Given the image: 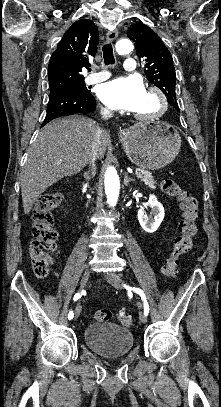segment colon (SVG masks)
Returning <instances> with one entry per match:
<instances>
[{
  "label": "colon",
  "mask_w": 221,
  "mask_h": 407,
  "mask_svg": "<svg viewBox=\"0 0 221 407\" xmlns=\"http://www.w3.org/2000/svg\"><path fill=\"white\" fill-rule=\"evenodd\" d=\"M162 191L175 197L182 211L178 223V235L174 241V248L163 266V273L169 279L175 277L180 263V257L187 254L196 234V219L198 217V201L189 192L182 189L174 180L164 179L161 182ZM62 196L59 193L42 195L33 211L32 240L30 242V255L33 260V270L36 276L46 277L50 271V254L56 248L57 232L53 227L52 211L60 205ZM93 318L106 322L112 318L109 310H98ZM118 321L123 325H131V317L125 312L118 313Z\"/></svg>",
  "instance_id": "colon-1"
}]
</instances>
